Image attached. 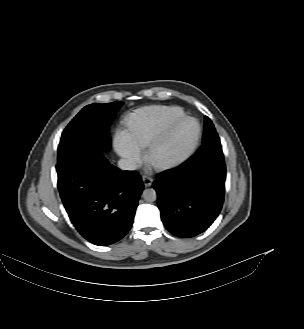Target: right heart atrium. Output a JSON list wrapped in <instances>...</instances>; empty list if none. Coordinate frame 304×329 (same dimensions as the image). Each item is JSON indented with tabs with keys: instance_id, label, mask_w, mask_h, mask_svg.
Instances as JSON below:
<instances>
[{
	"instance_id": "1",
	"label": "right heart atrium",
	"mask_w": 304,
	"mask_h": 329,
	"mask_svg": "<svg viewBox=\"0 0 304 329\" xmlns=\"http://www.w3.org/2000/svg\"><path fill=\"white\" fill-rule=\"evenodd\" d=\"M115 147L118 154L128 159L134 165H138L143 160V151L135 143L130 133L124 129H118L115 133Z\"/></svg>"
}]
</instances>
